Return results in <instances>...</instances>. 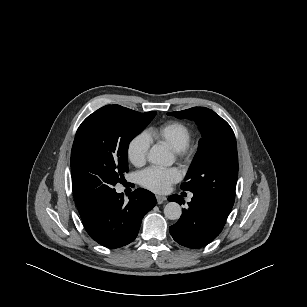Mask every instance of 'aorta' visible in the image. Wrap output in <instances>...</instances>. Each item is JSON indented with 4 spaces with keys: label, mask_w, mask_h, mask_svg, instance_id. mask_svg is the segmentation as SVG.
<instances>
[{
    "label": "aorta",
    "mask_w": 307,
    "mask_h": 307,
    "mask_svg": "<svg viewBox=\"0 0 307 307\" xmlns=\"http://www.w3.org/2000/svg\"><path fill=\"white\" fill-rule=\"evenodd\" d=\"M148 161L155 165L169 166L172 160L168 151L163 146H153L148 153ZM164 215L167 219L178 220L182 215V209L176 202H169L164 207Z\"/></svg>",
    "instance_id": "aorta-1"
}]
</instances>
